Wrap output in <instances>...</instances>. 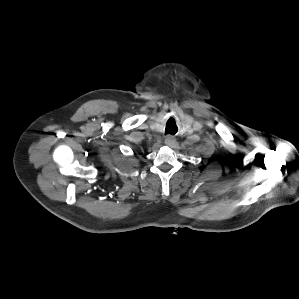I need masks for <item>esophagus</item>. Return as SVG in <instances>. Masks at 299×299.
<instances>
[{"label":"esophagus","instance_id":"obj_1","mask_svg":"<svg viewBox=\"0 0 299 299\" xmlns=\"http://www.w3.org/2000/svg\"><path fill=\"white\" fill-rule=\"evenodd\" d=\"M175 138L173 137V136H167L166 138H165V144L167 145V146H172V145H174L175 144Z\"/></svg>","mask_w":299,"mask_h":299}]
</instances>
